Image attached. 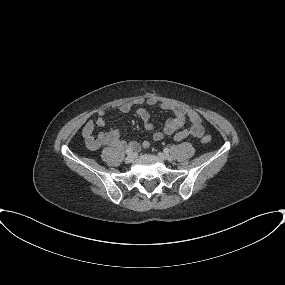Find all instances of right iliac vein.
Listing matches in <instances>:
<instances>
[{"label": "right iliac vein", "mask_w": 285, "mask_h": 285, "mask_svg": "<svg viewBox=\"0 0 285 285\" xmlns=\"http://www.w3.org/2000/svg\"><path fill=\"white\" fill-rule=\"evenodd\" d=\"M135 158H136V155L134 153L128 154L125 158V162L131 163L134 161Z\"/></svg>", "instance_id": "1"}]
</instances>
